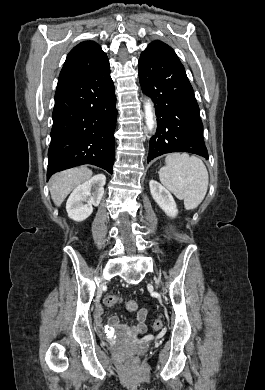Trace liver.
Returning a JSON list of instances; mask_svg holds the SVG:
<instances>
[{
  "instance_id": "1",
  "label": "liver",
  "mask_w": 265,
  "mask_h": 390,
  "mask_svg": "<svg viewBox=\"0 0 265 390\" xmlns=\"http://www.w3.org/2000/svg\"><path fill=\"white\" fill-rule=\"evenodd\" d=\"M87 167L72 168L59 172L50 179V193L56 206H60L67 195L77 186L92 177Z\"/></svg>"
}]
</instances>
